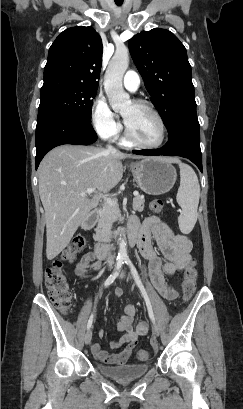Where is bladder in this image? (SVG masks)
I'll return each mask as SVG.
<instances>
[{"mask_svg":"<svg viewBox=\"0 0 243 409\" xmlns=\"http://www.w3.org/2000/svg\"><path fill=\"white\" fill-rule=\"evenodd\" d=\"M96 370L103 376L117 381H130L143 377L149 370L148 364L128 363L118 366H108L97 362Z\"/></svg>","mask_w":243,"mask_h":409,"instance_id":"1","label":"bladder"}]
</instances>
